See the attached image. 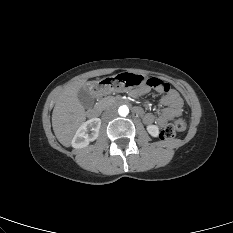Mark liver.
Here are the masks:
<instances>
[{"instance_id":"6515ba94","label":"liver","mask_w":233,"mask_h":233,"mask_svg":"<svg viewBox=\"0 0 233 233\" xmlns=\"http://www.w3.org/2000/svg\"><path fill=\"white\" fill-rule=\"evenodd\" d=\"M83 87L95 95L93 82L80 79L65 87L53 109V131L58 141L65 147L70 145L75 132L86 120L85 109L77 97L78 91Z\"/></svg>"}]
</instances>
